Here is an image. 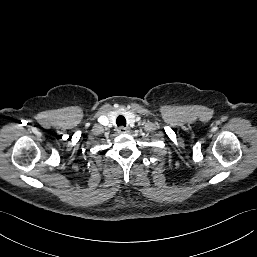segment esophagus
I'll use <instances>...</instances> for the list:
<instances>
[{
  "instance_id": "34e87169",
  "label": "esophagus",
  "mask_w": 257,
  "mask_h": 257,
  "mask_svg": "<svg viewBox=\"0 0 257 257\" xmlns=\"http://www.w3.org/2000/svg\"><path fill=\"white\" fill-rule=\"evenodd\" d=\"M119 132H120V133H127V132H129V129L126 128V127L121 126V127L119 128Z\"/></svg>"
}]
</instances>
